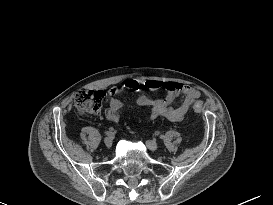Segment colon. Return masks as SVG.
I'll return each mask as SVG.
<instances>
[{
	"instance_id": "1",
	"label": "colon",
	"mask_w": 273,
	"mask_h": 205,
	"mask_svg": "<svg viewBox=\"0 0 273 205\" xmlns=\"http://www.w3.org/2000/svg\"><path fill=\"white\" fill-rule=\"evenodd\" d=\"M105 93L100 90H81L74 96V105L80 115H97L100 113ZM193 109L200 112L203 109L201 102H195Z\"/></svg>"
}]
</instances>
